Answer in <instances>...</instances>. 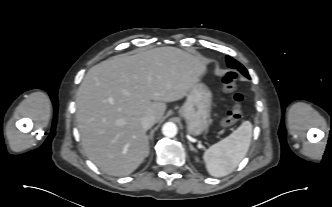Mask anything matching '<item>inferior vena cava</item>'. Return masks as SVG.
Here are the masks:
<instances>
[{"instance_id": "602c4592", "label": "inferior vena cava", "mask_w": 332, "mask_h": 207, "mask_svg": "<svg viewBox=\"0 0 332 207\" xmlns=\"http://www.w3.org/2000/svg\"><path fill=\"white\" fill-rule=\"evenodd\" d=\"M155 122H156L155 117L152 114L145 115L141 119L142 127L145 130L150 129L155 124Z\"/></svg>"}]
</instances>
